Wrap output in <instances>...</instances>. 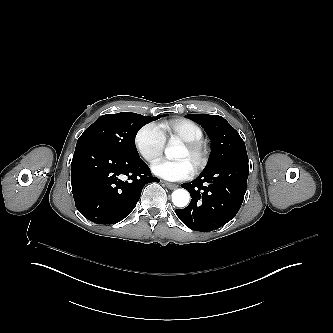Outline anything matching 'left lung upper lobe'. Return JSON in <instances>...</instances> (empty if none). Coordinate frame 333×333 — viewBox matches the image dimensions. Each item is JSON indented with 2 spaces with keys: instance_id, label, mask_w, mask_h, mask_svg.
<instances>
[{
  "instance_id": "5c2ea615",
  "label": "left lung upper lobe",
  "mask_w": 333,
  "mask_h": 333,
  "mask_svg": "<svg viewBox=\"0 0 333 333\" xmlns=\"http://www.w3.org/2000/svg\"><path fill=\"white\" fill-rule=\"evenodd\" d=\"M186 117L200 124L212 142L211 160L204 173L234 159H248L244 141L223 117L208 114H188Z\"/></svg>"
}]
</instances>
